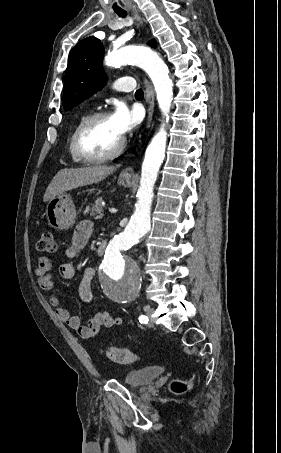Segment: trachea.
<instances>
[{"instance_id":"1","label":"trachea","mask_w":281,"mask_h":453,"mask_svg":"<svg viewBox=\"0 0 281 453\" xmlns=\"http://www.w3.org/2000/svg\"><path fill=\"white\" fill-rule=\"evenodd\" d=\"M117 15H118L119 17L125 18V17L127 16V13H126V12H124V13H117ZM143 96H144V92H143V90H142L141 88H139V90H137V91L135 92V97H143Z\"/></svg>"}]
</instances>
